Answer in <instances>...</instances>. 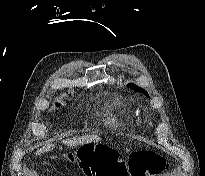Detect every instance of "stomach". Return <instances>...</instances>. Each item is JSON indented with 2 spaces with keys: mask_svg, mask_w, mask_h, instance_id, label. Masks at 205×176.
I'll list each match as a JSON object with an SVG mask.
<instances>
[{
  "mask_svg": "<svg viewBox=\"0 0 205 176\" xmlns=\"http://www.w3.org/2000/svg\"><path fill=\"white\" fill-rule=\"evenodd\" d=\"M85 145H87V146H84V145L82 146L84 150H90L91 148H93L95 150L96 148H99L98 147L99 144H92V146H90L88 144H85Z\"/></svg>",
  "mask_w": 205,
  "mask_h": 176,
  "instance_id": "obj_1",
  "label": "stomach"
}]
</instances>
